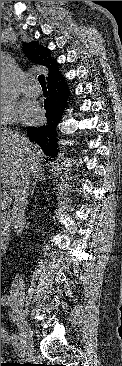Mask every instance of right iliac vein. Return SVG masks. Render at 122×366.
Instances as JSON below:
<instances>
[{
	"instance_id": "obj_1",
	"label": "right iliac vein",
	"mask_w": 122,
	"mask_h": 366,
	"mask_svg": "<svg viewBox=\"0 0 122 366\" xmlns=\"http://www.w3.org/2000/svg\"><path fill=\"white\" fill-rule=\"evenodd\" d=\"M12 318L19 327L20 335L23 340L22 344H25V349L27 350V352L24 351V353H31L33 351L31 343L32 331L29 327V324L25 320L24 314L19 310L17 306L13 307Z\"/></svg>"
}]
</instances>
